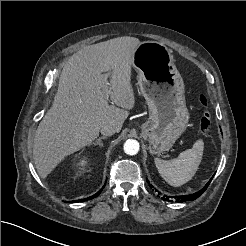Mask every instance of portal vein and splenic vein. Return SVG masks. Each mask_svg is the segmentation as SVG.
<instances>
[{"instance_id": "1", "label": "portal vein and splenic vein", "mask_w": 246, "mask_h": 246, "mask_svg": "<svg viewBox=\"0 0 246 246\" xmlns=\"http://www.w3.org/2000/svg\"><path fill=\"white\" fill-rule=\"evenodd\" d=\"M105 76H106V77H109V74H106ZM106 84L108 85V82H107Z\"/></svg>"}]
</instances>
